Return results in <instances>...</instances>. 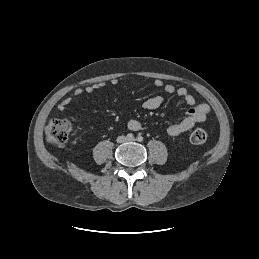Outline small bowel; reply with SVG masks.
I'll use <instances>...</instances> for the list:
<instances>
[{"label": "small bowel", "instance_id": "small-bowel-1", "mask_svg": "<svg viewBox=\"0 0 259 259\" xmlns=\"http://www.w3.org/2000/svg\"><path fill=\"white\" fill-rule=\"evenodd\" d=\"M110 83L112 85H117L118 80L111 79ZM104 85V82H98L86 86L85 88L75 89L70 97H66L58 104V110L60 112H65L75 98L83 94H91L95 90L103 87ZM154 85L157 88H161L167 96H173L176 94L184 101L186 105L190 107L185 117L181 121L176 122L168 127L167 133L169 136H179L189 131L196 124L204 122L206 120L211 111L209 105L205 103L196 104L194 96L186 88L180 87L176 89L171 84H165L161 79H156L154 81ZM163 101L164 97L162 95L150 97L143 103V108L147 110H155L162 105ZM127 128L132 131H138L142 128V123L136 119H131L127 124Z\"/></svg>", "mask_w": 259, "mask_h": 259}]
</instances>
